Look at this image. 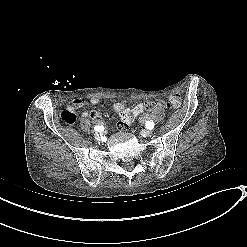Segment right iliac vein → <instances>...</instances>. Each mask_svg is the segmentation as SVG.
I'll use <instances>...</instances> for the list:
<instances>
[{
	"label": "right iliac vein",
	"mask_w": 247,
	"mask_h": 247,
	"mask_svg": "<svg viewBox=\"0 0 247 247\" xmlns=\"http://www.w3.org/2000/svg\"><path fill=\"white\" fill-rule=\"evenodd\" d=\"M94 137H95L96 140H100V134L99 133H95Z\"/></svg>",
	"instance_id": "63e3f726"
}]
</instances>
